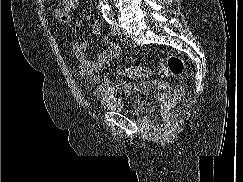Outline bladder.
<instances>
[{
  "label": "bladder",
  "instance_id": "obj_1",
  "mask_svg": "<svg viewBox=\"0 0 243 182\" xmlns=\"http://www.w3.org/2000/svg\"><path fill=\"white\" fill-rule=\"evenodd\" d=\"M99 106L102 110L107 112L139 115L144 111L146 101L141 95L136 93V91H133L128 95H114L103 98Z\"/></svg>",
  "mask_w": 243,
  "mask_h": 182
}]
</instances>
